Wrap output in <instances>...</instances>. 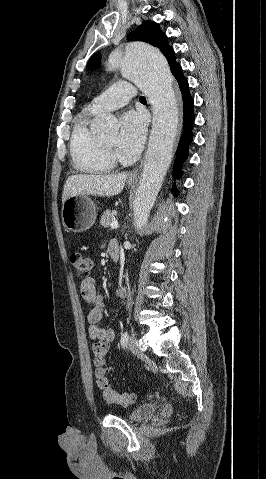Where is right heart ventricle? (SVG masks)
I'll return each mask as SVG.
<instances>
[{"instance_id": "right-heart-ventricle-1", "label": "right heart ventricle", "mask_w": 266, "mask_h": 479, "mask_svg": "<svg viewBox=\"0 0 266 479\" xmlns=\"http://www.w3.org/2000/svg\"><path fill=\"white\" fill-rule=\"evenodd\" d=\"M94 113L89 109L90 115ZM70 152L74 168L82 173L105 174L114 168L102 138L90 129L87 117H80L74 125Z\"/></svg>"}]
</instances>
